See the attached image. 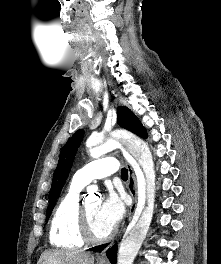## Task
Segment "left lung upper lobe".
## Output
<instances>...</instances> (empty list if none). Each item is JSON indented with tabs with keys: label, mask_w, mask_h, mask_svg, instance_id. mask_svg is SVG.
I'll return each mask as SVG.
<instances>
[{
	"label": "left lung upper lobe",
	"mask_w": 221,
	"mask_h": 264,
	"mask_svg": "<svg viewBox=\"0 0 221 264\" xmlns=\"http://www.w3.org/2000/svg\"><path fill=\"white\" fill-rule=\"evenodd\" d=\"M117 114V123L121 127L135 133L140 137H147L145 128L130 109L124 106H119L117 109ZM83 136L84 130H78L61 150L58 166L54 172L52 187L49 192V205L46 211V220H48L56 204L57 197L60 194L68 177L76 151L83 139Z\"/></svg>",
	"instance_id": "5c2ea615"
}]
</instances>
